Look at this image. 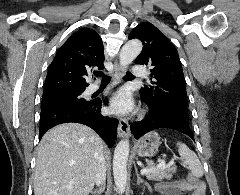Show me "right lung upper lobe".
Masks as SVG:
<instances>
[{
  "instance_id": "right-lung-upper-lobe-1",
  "label": "right lung upper lobe",
  "mask_w": 240,
  "mask_h": 195,
  "mask_svg": "<svg viewBox=\"0 0 240 195\" xmlns=\"http://www.w3.org/2000/svg\"><path fill=\"white\" fill-rule=\"evenodd\" d=\"M101 37L93 30L82 28L60 48L52 61L43 95L85 90V77L92 69H104Z\"/></svg>"
}]
</instances>
